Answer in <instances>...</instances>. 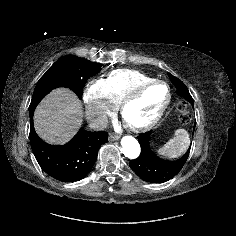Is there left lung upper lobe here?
I'll return each mask as SVG.
<instances>
[{"mask_svg":"<svg viewBox=\"0 0 236 236\" xmlns=\"http://www.w3.org/2000/svg\"><path fill=\"white\" fill-rule=\"evenodd\" d=\"M169 78L171 79V82L174 84V86L177 89V94L186 98L187 100H189L191 97L186 85L178 78H176L175 76H173L172 74L168 73Z\"/></svg>","mask_w":236,"mask_h":236,"instance_id":"obj_1","label":"left lung upper lobe"}]
</instances>
